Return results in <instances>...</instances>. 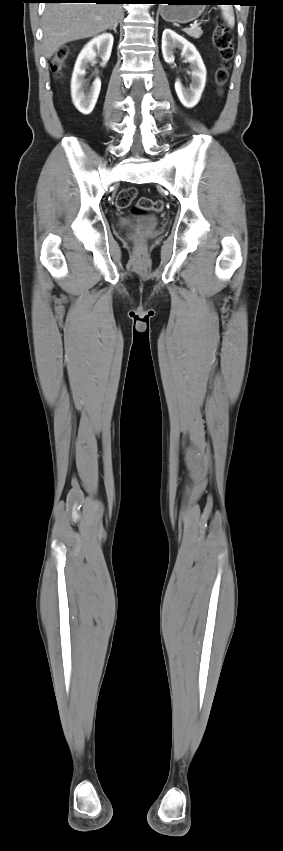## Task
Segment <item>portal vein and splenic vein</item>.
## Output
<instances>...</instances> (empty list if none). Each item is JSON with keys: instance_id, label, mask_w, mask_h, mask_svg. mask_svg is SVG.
Listing matches in <instances>:
<instances>
[{"instance_id": "18ae733b", "label": "portal vein and splenic vein", "mask_w": 283, "mask_h": 851, "mask_svg": "<svg viewBox=\"0 0 283 851\" xmlns=\"http://www.w3.org/2000/svg\"><path fill=\"white\" fill-rule=\"evenodd\" d=\"M198 25H199L198 23H194V24H193V26H192V28H195V27H197Z\"/></svg>"}]
</instances>
